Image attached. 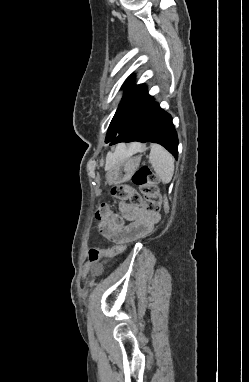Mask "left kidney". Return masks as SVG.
<instances>
[{
  "label": "left kidney",
  "mask_w": 249,
  "mask_h": 382,
  "mask_svg": "<svg viewBox=\"0 0 249 382\" xmlns=\"http://www.w3.org/2000/svg\"><path fill=\"white\" fill-rule=\"evenodd\" d=\"M91 274L93 277H101L102 271L101 270H93Z\"/></svg>",
  "instance_id": "5707ae66"
}]
</instances>
